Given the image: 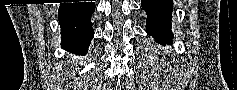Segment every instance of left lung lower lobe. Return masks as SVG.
<instances>
[{
	"instance_id": "0a47b994",
	"label": "left lung lower lobe",
	"mask_w": 237,
	"mask_h": 90,
	"mask_svg": "<svg viewBox=\"0 0 237 90\" xmlns=\"http://www.w3.org/2000/svg\"><path fill=\"white\" fill-rule=\"evenodd\" d=\"M141 5L147 13V33L161 44L172 43L171 13L173 1L142 0Z\"/></svg>"
}]
</instances>
